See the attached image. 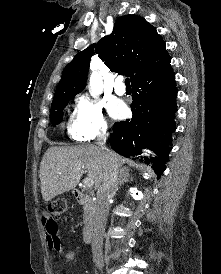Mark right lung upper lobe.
Here are the masks:
<instances>
[{
	"label": "right lung upper lobe",
	"instance_id": "right-lung-upper-lobe-1",
	"mask_svg": "<svg viewBox=\"0 0 221 274\" xmlns=\"http://www.w3.org/2000/svg\"><path fill=\"white\" fill-rule=\"evenodd\" d=\"M93 47L110 71L129 75L131 82L152 72L170 58L155 27L141 16H122L114 24L110 35L76 54L65 67L54 98L75 96L84 89Z\"/></svg>",
	"mask_w": 221,
	"mask_h": 274
}]
</instances>
